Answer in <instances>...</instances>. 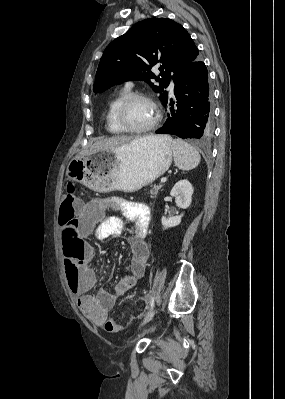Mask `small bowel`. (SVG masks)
Returning a JSON list of instances; mask_svg holds the SVG:
<instances>
[{
  "label": "small bowel",
  "mask_w": 285,
  "mask_h": 399,
  "mask_svg": "<svg viewBox=\"0 0 285 399\" xmlns=\"http://www.w3.org/2000/svg\"><path fill=\"white\" fill-rule=\"evenodd\" d=\"M116 206L121 210L123 218L117 216H107L106 211L109 207ZM95 208L101 214L102 219L95 229L96 240H104L111 236L128 233V243L131 252L130 271L123 274L115 289L108 291L100 289L93 296L89 291L97 284V277L89 266L93 256L91 246H85V261L78 277L69 281V288L75 296L78 308L86 314L96 325L104 327L111 333L121 330V325L114 319L108 317V311L114 307L117 300L131 290L136 282L143 276L149 260L148 245L145 237L148 233L150 214L146 204L128 199H118L113 203L98 200ZM83 208L76 209L74 222L81 225L78 234L80 236L90 231L85 220L80 216ZM125 221L130 223L126 226ZM61 238L63 243L71 240L67 231L62 228Z\"/></svg>",
  "instance_id": "c3829d8e"
}]
</instances>
